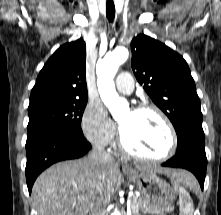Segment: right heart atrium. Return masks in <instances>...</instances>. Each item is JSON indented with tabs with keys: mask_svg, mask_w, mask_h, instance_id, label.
Here are the masks:
<instances>
[{
	"mask_svg": "<svg viewBox=\"0 0 221 215\" xmlns=\"http://www.w3.org/2000/svg\"><path fill=\"white\" fill-rule=\"evenodd\" d=\"M81 128L86 139L94 145L111 144L117 134L116 126L98 102H89L82 115Z\"/></svg>",
	"mask_w": 221,
	"mask_h": 215,
	"instance_id": "d8ad5b80",
	"label": "right heart atrium"
}]
</instances>
